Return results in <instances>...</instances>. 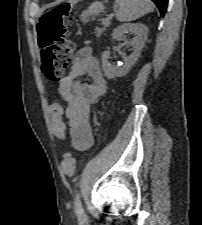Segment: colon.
<instances>
[{
	"mask_svg": "<svg viewBox=\"0 0 202 225\" xmlns=\"http://www.w3.org/2000/svg\"><path fill=\"white\" fill-rule=\"evenodd\" d=\"M70 6L61 5L43 13L38 18L37 36L41 50V70L46 79L58 85L64 78V72L71 60L73 42L69 39L68 28L71 19ZM56 114L61 113L60 104H54ZM75 159L70 152L64 154L60 170L65 176L73 173Z\"/></svg>",
	"mask_w": 202,
	"mask_h": 225,
	"instance_id": "colon-1",
	"label": "colon"
}]
</instances>
